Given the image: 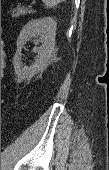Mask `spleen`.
Masks as SVG:
<instances>
[{"instance_id":"1","label":"spleen","mask_w":109,"mask_h":170,"mask_svg":"<svg viewBox=\"0 0 109 170\" xmlns=\"http://www.w3.org/2000/svg\"><path fill=\"white\" fill-rule=\"evenodd\" d=\"M43 3L48 7H53L57 5L58 3L65 1V0H42Z\"/></svg>"}]
</instances>
